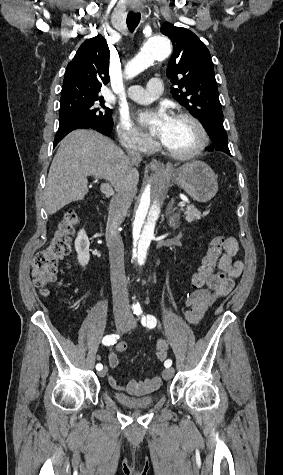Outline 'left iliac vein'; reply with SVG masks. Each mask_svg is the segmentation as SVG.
<instances>
[{
	"label": "left iliac vein",
	"instance_id": "4c4485c4",
	"mask_svg": "<svg viewBox=\"0 0 283 475\" xmlns=\"http://www.w3.org/2000/svg\"><path fill=\"white\" fill-rule=\"evenodd\" d=\"M129 318H130V320L127 322V324H126L125 327H124V330H125V331L131 330V329H133V328L136 327V320H135V318L132 317V316H130ZM173 374H174V369H173V368H166V369H164V370L162 371L163 379L166 380V381L169 380V379H171L172 376H173Z\"/></svg>",
	"mask_w": 283,
	"mask_h": 475
}]
</instances>
